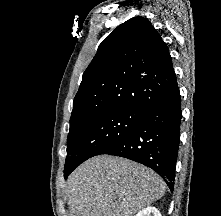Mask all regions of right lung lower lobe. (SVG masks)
Returning a JSON list of instances; mask_svg holds the SVG:
<instances>
[{
  "instance_id": "1",
  "label": "right lung lower lobe",
  "mask_w": 221,
  "mask_h": 216,
  "mask_svg": "<svg viewBox=\"0 0 221 216\" xmlns=\"http://www.w3.org/2000/svg\"><path fill=\"white\" fill-rule=\"evenodd\" d=\"M181 117L180 92L174 81L155 101L142 109L134 130L103 154L125 157L148 166L173 191ZM75 168L71 166L65 178Z\"/></svg>"
}]
</instances>
